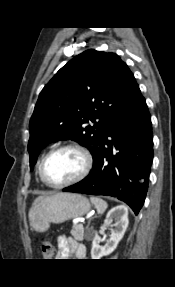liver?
Masks as SVG:
<instances>
[{
    "label": "liver",
    "instance_id": "6515ba94",
    "mask_svg": "<svg viewBox=\"0 0 175 287\" xmlns=\"http://www.w3.org/2000/svg\"><path fill=\"white\" fill-rule=\"evenodd\" d=\"M44 198V196H38L36 199H35V201H34V204L35 203H37V202H39L41 199H43Z\"/></svg>",
    "mask_w": 175,
    "mask_h": 287
}]
</instances>
